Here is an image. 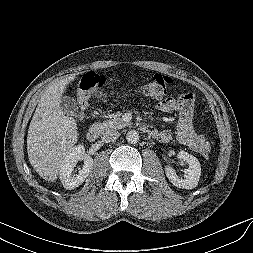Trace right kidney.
<instances>
[{"mask_svg": "<svg viewBox=\"0 0 253 253\" xmlns=\"http://www.w3.org/2000/svg\"><path fill=\"white\" fill-rule=\"evenodd\" d=\"M80 160L84 161V165L78 174H73L74 167ZM92 166L93 159L85 153L84 147L82 145L74 146L67 152L61 164L59 175L63 187L68 190L78 187L87 178Z\"/></svg>", "mask_w": 253, "mask_h": 253, "instance_id": "obj_1", "label": "right kidney"}]
</instances>
